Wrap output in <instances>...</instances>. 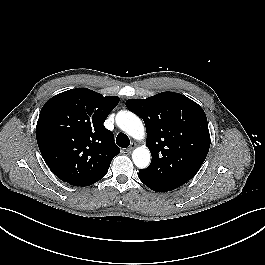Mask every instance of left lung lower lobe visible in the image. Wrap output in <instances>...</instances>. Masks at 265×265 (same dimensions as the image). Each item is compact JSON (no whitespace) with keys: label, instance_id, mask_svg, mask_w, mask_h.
Segmentation results:
<instances>
[{"label":"left lung lower lobe","instance_id":"0a47b994","mask_svg":"<svg viewBox=\"0 0 265 265\" xmlns=\"http://www.w3.org/2000/svg\"><path fill=\"white\" fill-rule=\"evenodd\" d=\"M139 179L150 189L156 191V192H167V191H171L174 190L175 188L163 185L161 183H158L144 175H142L140 172L138 174Z\"/></svg>","mask_w":265,"mask_h":265}]
</instances>
